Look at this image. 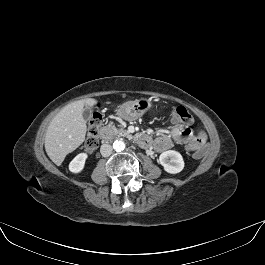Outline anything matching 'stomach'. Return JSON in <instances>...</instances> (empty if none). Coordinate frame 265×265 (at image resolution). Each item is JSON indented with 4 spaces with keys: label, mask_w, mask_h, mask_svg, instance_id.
I'll return each instance as SVG.
<instances>
[{
    "label": "stomach",
    "mask_w": 265,
    "mask_h": 265,
    "mask_svg": "<svg viewBox=\"0 0 265 265\" xmlns=\"http://www.w3.org/2000/svg\"><path fill=\"white\" fill-rule=\"evenodd\" d=\"M151 107V99L141 98L135 101H127L118 106L117 115L127 121H134L143 116Z\"/></svg>",
    "instance_id": "0dacf381"
}]
</instances>
